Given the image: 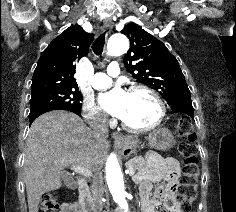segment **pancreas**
Masks as SVG:
<instances>
[{"label": "pancreas", "instance_id": "pancreas-1", "mask_svg": "<svg viewBox=\"0 0 236 212\" xmlns=\"http://www.w3.org/2000/svg\"><path fill=\"white\" fill-rule=\"evenodd\" d=\"M145 166V160L143 157L139 156V157H134L133 159L129 160L127 163H126V167L129 169V170H134V171H137V170H141L143 167Z\"/></svg>", "mask_w": 236, "mask_h": 212}]
</instances>
